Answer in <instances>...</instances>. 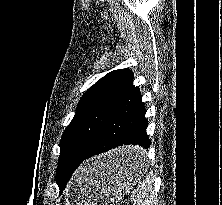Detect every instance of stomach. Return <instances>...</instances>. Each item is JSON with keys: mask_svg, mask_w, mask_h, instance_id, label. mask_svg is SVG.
Wrapping results in <instances>:
<instances>
[{"mask_svg": "<svg viewBox=\"0 0 222 205\" xmlns=\"http://www.w3.org/2000/svg\"><path fill=\"white\" fill-rule=\"evenodd\" d=\"M138 149L126 146L85 162L67 188L65 205H113L120 201L141 180L148 166L145 159L121 165L116 158Z\"/></svg>", "mask_w": 222, "mask_h": 205, "instance_id": "1", "label": "stomach"}]
</instances>
